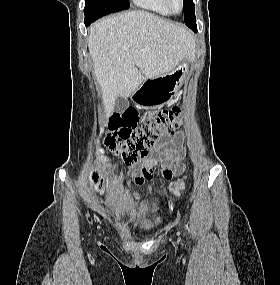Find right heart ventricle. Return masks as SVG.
I'll return each mask as SVG.
<instances>
[{"instance_id":"e07e8e85","label":"right heart ventricle","mask_w":280,"mask_h":285,"mask_svg":"<svg viewBox=\"0 0 280 285\" xmlns=\"http://www.w3.org/2000/svg\"><path fill=\"white\" fill-rule=\"evenodd\" d=\"M134 3L142 8L150 10L152 12L161 14V15H170L166 3L164 0H133Z\"/></svg>"}]
</instances>
